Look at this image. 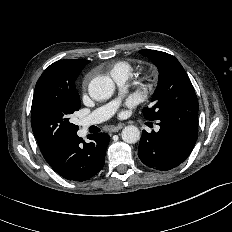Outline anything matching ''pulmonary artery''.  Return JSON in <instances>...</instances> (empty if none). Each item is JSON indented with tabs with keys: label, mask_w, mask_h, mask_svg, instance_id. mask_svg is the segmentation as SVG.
I'll list each match as a JSON object with an SVG mask.
<instances>
[{
	"label": "pulmonary artery",
	"mask_w": 232,
	"mask_h": 232,
	"mask_svg": "<svg viewBox=\"0 0 232 232\" xmlns=\"http://www.w3.org/2000/svg\"><path fill=\"white\" fill-rule=\"evenodd\" d=\"M129 76L130 75L128 74H120L114 76L113 78L118 85L122 86L127 82ZM116 107L117 104L115 102H112L103 107L96 109L89 116H87L85 119L82 120L83 127L87 128L91 125H95L107 120L114 114Z\"/></svg>",
	"instance_id": "e3ab8cb5"
}]
</instances>
